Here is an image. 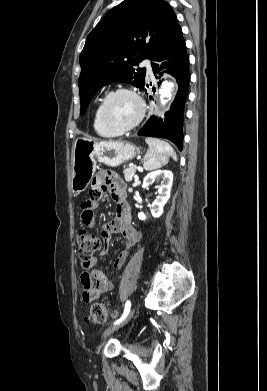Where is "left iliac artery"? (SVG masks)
Masks as SVG:
<instances>
[{"mask_svg":"<svg viewBox=\"0 0 267 391\" xmlns=\"http://www.w3.org/2000/svg\"><path fill=\"white\" fill-rule=\"evenodd\" d=\"M130 307H131V303H130V301H127L125 304L124 313H123L122 317L120 319H118L114 324H119L120 322H122L126 318V316L128 315V313L130 311Z\"/></svg>","mask_w":267,"mask_h":391,"instance_id":"obj_1","label":"left iliac artery"}]
</instances>
